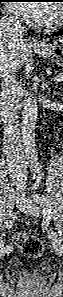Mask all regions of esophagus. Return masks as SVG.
Wrapping results in <instances>:
<instances>
[{
    "label": "esophagus",
    "mask_w": 63,
    "mask_h": 297,
    "mask_svg": "<svg viewBox=\"0 0 63 297\" xmlns=\"http://www.w3.org/2000/svg\"><path fill=\"white\" fill-rule=\"evenodd\" d=\"M30 45L34 48H44V44L41 43L36 35H33L30 39Z\"/></svg>",
    "instance_id": "esophagus-1"
}]
</instances>
